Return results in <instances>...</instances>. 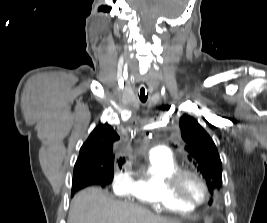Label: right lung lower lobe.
<instances>
[{
    "instance_id": "right-lung-lower-lobe-1",
    "label": "right lung lower lobe",
    "mask_w": 267,
    "mask_h": 223,
    "mask_svg": "<svg viewBox=\"0 0 267 223\" xmlns=\"http://www.w3.org/2000/svg\"><path fill=\"white\" fill-rule=\"evenodd\" d=\"M112 181L111 178H106L104 175H88V174H83L79 176H74L73 177V182H72V195L90 185H101L102 187H105V185L109 184Z\"/></svg>"
}]
</instances>
